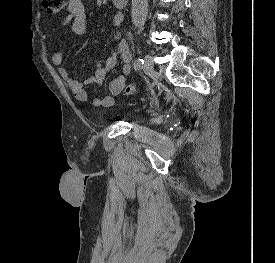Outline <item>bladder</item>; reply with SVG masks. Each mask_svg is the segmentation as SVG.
Here are the masks:
<instances>
[{"label": "bladder", "instance_id": "bladder-1", "mask_svg": "<svg viewBox=\"0 0 275 263\" xmlns=\"http://www.w3.org/2000/svg\"><path fill=\"white\" fill-rule=\"evenodd\" d=\"M120 114L119 113H109V114H105L103 117L105 118V119H110V118H114V117H116V116H119Z\"/></svg>", "mask_w": 275, "mask_h": 263}]
</instances>
